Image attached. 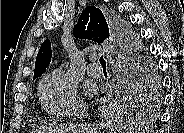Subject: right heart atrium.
Segmentation results:
<instances>
[{
	"label": "right heart atrium",
	"instance_id": "obj_1",
	"mask_svg": "<svg viewBox=\"0 0 184 133\" xmlns=\"http://www.w3.org/2000/svg\"><path fill=\"white\" fill-rule=\"evenodd\" d=\"M39 96L44 109L55 117L77 114L83 109L76 84L62 69H55L41 80Z\"/></svg>",
	"mask_w": 184,
	"mask_h": 133
}]
</instances>
